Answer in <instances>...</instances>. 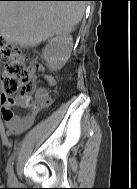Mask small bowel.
<instances>
[{"instance_id":"obj_1","label":"small bowel","mask_w":137,"mask_h":189,"mask_svg":"<svg viewBox=\"0 0 137 189\" xmlns=\"http://www.w3.org/2000/svg\"><path fill=\"white\" fill-rule=\"evenodd\" d=\"M36 71L42 72L43 69L39 66L36 68ZM36 78V74H34V97L37 100V107L35 109L27 105L25 96H16L2 103V117L8 132L12 135H21L26 132L35 122L38 112L52 103V98L47 89L37 86ZM43 78L48 86L56 84V79L52 75H43ZM14 107L26 110V112L23 114L15 113L13 111Z\"/></svg>"}]
</instances>
